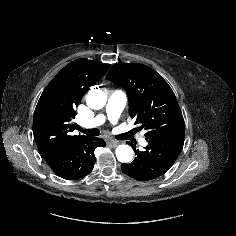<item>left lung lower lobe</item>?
I'll return each mask as SVG.
<instances>
[{
	"label": "left lung lower lobe",
	"mask_w": 236,
	"mask_h": 236,
	"mask_svg": "<svg viewBox=\"0 0 236 236\" xmlns=\"http://www.w3.org/2000/svg\"><path fill=\"white\" fill-rule=\"evenodd\" d=\"M185 133L147 139L145 151L135 149L137 157L121 165L122 171L140 181L154 180L165 174L182 151Z\"/></svg>",
	"instance_id": "obj_1"
}]
</instances>
